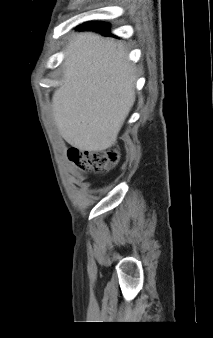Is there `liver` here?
<instances>
[{
	"instance_id": "obj_1",
	"label": "liver",
	"mask_w": 213,
	"mask_h": 338,
	"mask_svg": "<svg viewBox=\"0 0 213 338\" xmlns=\"http://www.w3.org/2000/svg\"><path fill=\"white\" fill-rule=\"evenodd\" d=\"M64 84L52 99L60 135L80 151L115 144L134 102L136 75L122 43L85 32L67 45Z\"/></svg>"
}]
</instances>
